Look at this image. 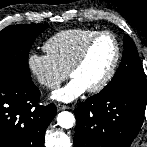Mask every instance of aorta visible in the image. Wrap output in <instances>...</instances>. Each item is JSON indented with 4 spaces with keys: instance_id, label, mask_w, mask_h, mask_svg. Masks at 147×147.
<instances>
[{
    "instance_id": "1",
    "label": "aorta",
    "mask_w": 147,
    "mask_h": 147,
    "mask_svg": "<svg viewBox=\"0 0 147 147\" xmlns=\"http://www.w3.org/2000/svg\"><path fill=\"white\" fill-rule=\"evenodd\" d=\"M57 123L60 127L69 129L73 127L75 123V117L71 112L63 111L58 114Z\"/></svg>"
}]
</instances>
